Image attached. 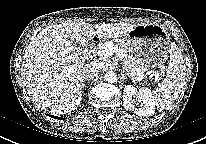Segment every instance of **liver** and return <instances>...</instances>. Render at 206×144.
<instances>
[{"instance_id": "1", "label": "liver", "mask_w": 206, "mask_h": 144, "mask_svg": "<svg viewBox=\"0 0 206 144\" xmlns=\"http://www.w3.org/2000/svg\"><path fill=\"white\" fill-rule=\"evenodd\" d=\"M136 25L129 23H88L50 25L35 37L25 50L21 75L33 102L45 111L65 114L82 101L84 71L87 63L68 41L71 36L84 45L94 36L121 38Z\"/></svg>"}]
</instances>
